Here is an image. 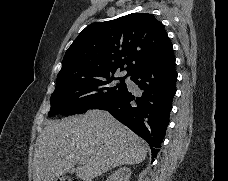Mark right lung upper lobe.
<instances>
[{"label":"right lung upper lobe","instance_id":"right-lung-upper-lobe-1","mask_svg":"<svg viewBox=\"0 0 228 181\" xmlns=\"http://www.w3.org/2000/svg\"><path fill=\"white\" fill-rule=\"evenodd\" d=\"M172 49L160 21L132 13L87 26L67 50L56 86L113 75L133 74L146 62Z\"/></svg>","mask_w":228,"mask_h":181}]
</instances>
